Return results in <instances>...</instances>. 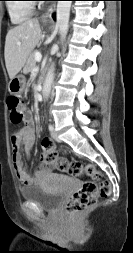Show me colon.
<instances>
[{"label": "colon", "instance_id": "colon-1", "mask_svg": "<svg viewBox=\"0 0 133 253\" xmlns=\"http://www.w3.org/2000/svg\"><path fill=\"white\" fill-rule=\"evenodd\" d=\"M10 120L14 124L25 121L26 107L23 101L17 96H9L6 100ZM42 145L45 149L44 159L48 163L54 164L56 168L73 177L87 174L98 182H87L81 189L74 192L65 205L66 213L70 215L79 214L92 207L98 198L107 197L111 192L110 181L101 178L98 171L91 165L84 167L76 160H68L58 156L57 150L52 143V137H41Z\"/></svg>", "mask_w": 133, "mask_h": 253}]
</instances>
